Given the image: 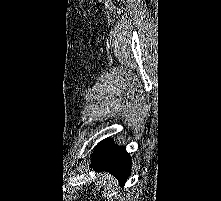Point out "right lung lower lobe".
<instances>
[{"mask_svg": "<svg viewBox=\"0 0 221 201\" xmlns=\"http://www.w3.org/2000/svg\"><path fill=\"white\" fill-rule=\"evenodd\" d=\"M91 166L97 170L108 171L120 180V184L124 185L130 174L131 161L125 148L119 147L113 144L111 139H107L96 146Z\"/></svg>", "mask_w": 221, "mask_h": 201, "instance_id": "1", "label": "right lung lower lobe"}]
</instances>
